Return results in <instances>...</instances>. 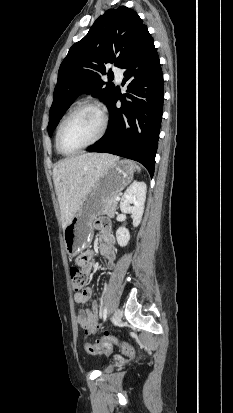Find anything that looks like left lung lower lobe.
Returning a JSON list of instances; mask_svg holds the SVG:
<instances>
[{"label": "left lung lower lobe", "mask_w": 233, "mask_h": 413, "mask_svg": "<svg viewBox=\"0 0 233 413\" xmlns=\"http://www.w3.org/2000/svg\"><path fill=\"white\" fill-rule=\"evenodd\" d=\"M121 68L127 93L115 91L108 104L110 125L104 136L89 147L142 163L154 174L155 155L163 112L164 82L158 53L149 32ZM122 102L116 108L117 100Z\"/></svg>", "instance_id": "1"}]
</instances>
